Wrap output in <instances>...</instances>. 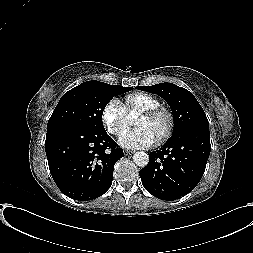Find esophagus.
Returning a JSON list of instances; mask_svg holds the SVG:
<instances>
[{
    "mask_svg": "<svg viewBox=\"0 0 253 253\" xmlns=\"http://www.w3.org/2000/svg\"><path fill=\"white\" fill-rule=\"evenodd\" d=\"M132 154H134V151H125V155H132Z\"/></svg>",
    "mask_w": 253,
    "mask_h": 253,
    "instance_id": "34e87169",
    "label": "esophagus"
}]
</instances>
